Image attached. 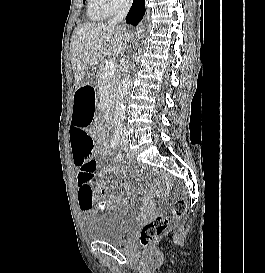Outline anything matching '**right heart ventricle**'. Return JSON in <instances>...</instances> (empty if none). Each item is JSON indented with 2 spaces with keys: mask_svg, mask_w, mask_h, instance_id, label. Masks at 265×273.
Listing matches in <instances>:
<instances>
[{
  "mask_svg": "<svg viewBox=\"0 0 265 273\" xmlns=\"http://www.w3.org/2000/svg\"><path fill=\"white\" fill-rule=\"evenodd\" d=\"M88 13L92 19H102L109 16L95 4L94 0H90Z\"/></svg>",
  "mask_w": 265,
  "mask_h": 273,
  "instance_id": "e07e8e85",
  "label": "right heart ventricle"
}]
</instances>
